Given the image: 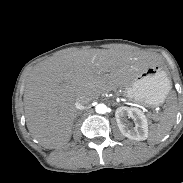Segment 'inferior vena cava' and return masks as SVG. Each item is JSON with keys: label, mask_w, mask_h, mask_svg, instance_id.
I'll list each match as a JSON object with an SVG mask.
<instances>
[{"label": "inferior vena cava", "mask_w": 183, "mask_h": 183, "mask_svg": "<svg viewBox=\"0 0 183 183\" xmlns=\"http://www.w3.org/2000/svg\"><path fill=\"white\" fill-rule=\"evenodd\" d=\"M90 102V100L84 96L79 97L77 101L75 102V107L77 110H83L85 109V105H87Z\"/></svg>", "instance_id": "obj_1"}]
</instances>
